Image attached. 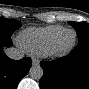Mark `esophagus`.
I'll return each instance as SVG.
<instances>
[{"mask_svg": "<svg viewBox=\"0 0 89 89\" xmlns=\"http://www.w3.org/2000/svg\"><path fill=\"white\" fill-rule=\"evenodd\" d=\"M38 64H39L38 59L32 58V65H33V66H37Z\"/></svg>", "mask_w": 89, "mask_h": 89, "instance_id": "esophagus-1", "label": "esophagus"}]
</instances>
